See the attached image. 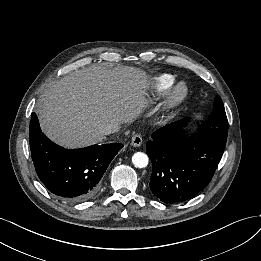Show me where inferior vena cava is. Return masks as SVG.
Masks as SVG:
<instances>
[{"label": "inferior vena cava", "instance_id": "1", "mask_svg": "<svg viewBox=\"0 0 261 261\" xmlns=\"http://www.w3.org/2000/svg\"><path fill=\"white\" fill-rule=\"evenodd\" d=\"M121 128H122L121 123H111V124L106 125L102 129V133L104 135L116 134L121 131Z\"/></svg>", "mask_w": 261, "mask_h": 261}]
</instances>
